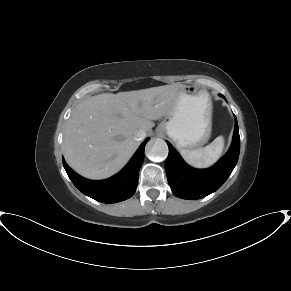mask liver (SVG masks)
Wrapping results in <instances>:
<instances>
[{
  "instance_id": "1",
  "label": "liver",
  "mask_w": 291,
  "mask_h": 291,
  "mask_svg": "<svg viewBox=\"0 0 291 291\" xmlns=\"http://www.w3.org/2000/svg\"><path fill=\"white\" fill-rule=\"evenodd\" d=\"M182 85L104 93L81 101L67 121L63 153L69 166L89 179L120 171L139 146L134 134L150 132L165 116Z\"/></svg>"
}]
</instances>
